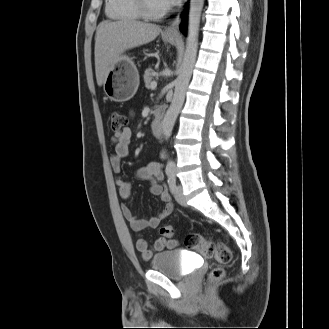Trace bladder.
<instances>
[{"label":"bladder","mask_w":329,"mask_h":329,"mask_svg":"<svg viewBox=\"0 0 329 329\" xmlns=\"http://www.w3.org/2000/svg\"><path fill=\"white\" fill-rule=\"evenodd\" d=\"M153 271L161 272L174 279H181L187 275L184 261L179 249H170L158 252L151 260Z\"/></svg>","instance_id":"bladder-1"}]
</instances>
